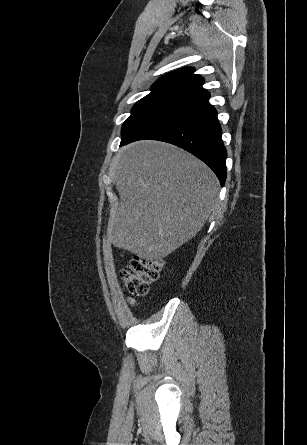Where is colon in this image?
I'll return each mask as SVG.
<instances>
[{"instance_id":"colon-1","label":"colon","mask_w":307,"mask_h":445,"mask_svg":"<svg viewBox=\"0 0 307 445\" xmlns=\"http://www.w3.org/2000/svg\"><path fill=\"white\" fill-rule=\"evenodd\" d=\"M162 266L161 260L134 257L121 271L125 289L134 296H145L151 283L158 279Z\"/></svg>"}]
</instances>
